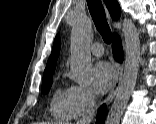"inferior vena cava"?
Instances as JSON below:
<instances>
[{
    "instance_id": "602c4592",
    "label": "inferior vena cava",
    "mask_w": 156,
    "mask_h": 124,
    "mask_svg": "<svg viewBox=\"0 0 156 124\" xmlns=\"http://www.w3.org/2000/svg\"><path fill=\"white\" fill-rule=\"evenodd\" d=\"M95 105V101L94 99H92L89 103L85 115L82 116V118L77 122V124H91L95 113Z\"/></svg>"
}]
</instances>
